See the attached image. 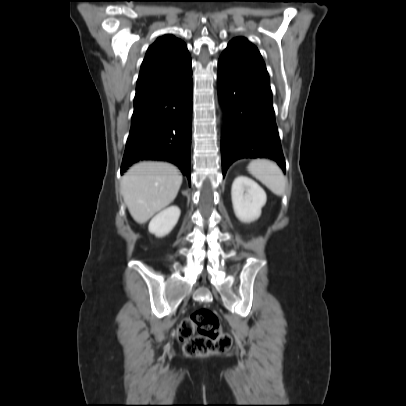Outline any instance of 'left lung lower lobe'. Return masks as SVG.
<instances>
[{
  "label": "left lung lower lobe",
  "instance_id": "obj_1",
  "mask_svg": "<svg viewBox=\"0 0 406 406\" xmlns=\"http://www.w3.org/2000/svg\"><path fill=\"white\" fill-rule=\"evenodd\" d=\"M217 91L226 117L221 139L223 175L242 158H270L285 171L266 68L223 52L218 61Z\"/></svg>",
  "mask_w": 406,
  "mask_h": 406
}]
</instances>
